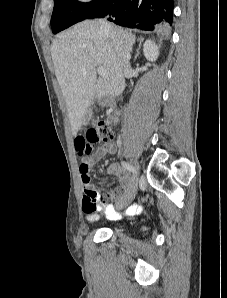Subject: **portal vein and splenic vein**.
Masks as SVG:
<instances>
[{
    "instance_id": "obj_1",
    "label": "portal vein and splenic vein",
    "mask_w": 227,
    "mask_h": 298,
    "mask_svg": "<svg viewBox=\"0 0 227 298\" xmlns=\"http://www.w3.org/2000/svg\"><path fill=\"white\" fill-rule=\"evenodd\" d=\"M97 73L103 78H108V73L104 67H98Z\"/></svg>"
}]
</instances>
